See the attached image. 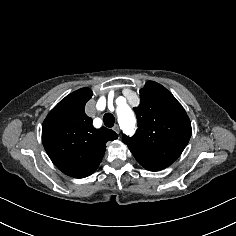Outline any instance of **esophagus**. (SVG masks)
Instances as JSON below:
<instances>
[{
    "mask_svg": "<svg viewBox=\"0 0 236 236\" xmlns=\"http://www.w3.org/2000/svg\"><path fill=\"white\" fill-rule=\"evenodd\" d=\"M113 130H114L117 134H119V132H120L119 126H118L117 124L114 125Z\"/></svg>",
    "mask_w": 236,
    "mask_h": 236,
    "instance_id": "obj_1",
    "label": "esophagus"
}]
</instances>
